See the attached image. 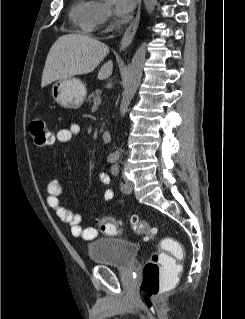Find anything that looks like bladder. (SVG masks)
Listing matches in <instances>:
<instances>
[{
	"mask_svg": "<svg viewBox=\"0 0 245 319\" xmlns=\"http://www.w3.org/2000/svg\"><path fill=\"white\" fill-rule=\"evenodd\" d=\"M138 250L136 242L116 237L94 238L88 244V254L93 263L123 269L134 263Z\"/></svg>",
	"mask_w": 245,
	"mask_h": 319,
	"instance_id": "31cf9c89",
	"label": "bladder"
}]
</instances>
